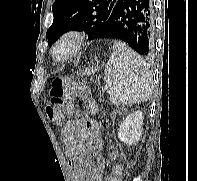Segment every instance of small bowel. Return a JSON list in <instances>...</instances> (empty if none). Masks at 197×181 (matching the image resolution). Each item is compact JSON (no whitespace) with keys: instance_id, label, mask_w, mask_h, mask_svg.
<instances>
[{"instance_id":"1","label":"small bowel","mask_w":197,"mask_h":181,"mask_svg":"<svg viewBox=\"0 0 197 181\" xmlns=\"http://www.w3.org/2000/svg\"><path fill=\"white\" fill-rule=\"evenodd\" d=\"M61 141L75 181H102L104 141L95 121L78 112L76 119L68 121L63 127ZM89 154L95 157L94 162L85 160Z\"/></svg>"}]
</instances>
